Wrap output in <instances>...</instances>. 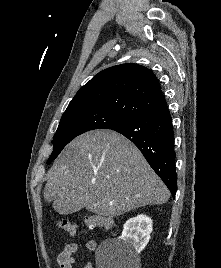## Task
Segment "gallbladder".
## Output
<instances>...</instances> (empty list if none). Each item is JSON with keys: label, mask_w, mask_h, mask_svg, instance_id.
I'll use <instances>...</instances> for the list:
<instances>
[{"label": "gallbladder", "mask_w": 221, "mask_h": 268, "mask_svg": "<svg viewBox=\"0 0 221 268\" xmlns=\"http://www.w3.org/2000/svg\"><path fill=\"white\" fill-rule=\"evenodd\" d=\"M84 203V199H56L54 207L57 213L72 214L81 210Z\"/></svg>", "instance_id": "1"}]
</instances>
